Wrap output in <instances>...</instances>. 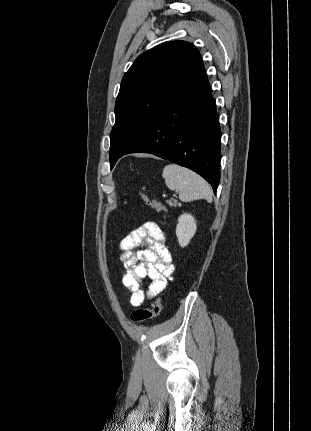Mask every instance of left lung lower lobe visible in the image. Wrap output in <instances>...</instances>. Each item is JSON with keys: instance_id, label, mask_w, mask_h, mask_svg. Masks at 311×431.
<instances>
[{"instance_id": "0a47b994", "label": "left lung lower lobe", "mask_w": 311, "mask_h": 431, "mask_svg": "<svg viewBox=\"0 0 311 431\" xmlns=\"http://www.w3.org/2000/svg\"><path fill=\"white\" fill-rule=\"evenodd\" d=\"M220 139L216 103L202 64L120 157L136 152L154 154L195 171L212 185L216 194Z\"/></svg>"}]
</instances>
